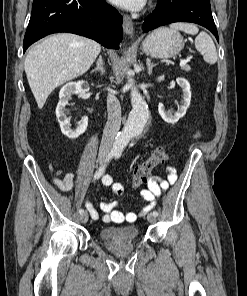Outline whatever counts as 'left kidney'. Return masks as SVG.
Returning <instances> with one entry per match:
<instances>
[{
    "instance_id": "5707ae66",
    "label": "left kidney",
    "mask_w": 247,
    "mask_h": 296,
    "mask_svg": "<svg viewBox=\"0 0 247 296\" xmlns=\"http://www.w3.org/2000/svg\"><path fill=\"white\" fill-rule=\"evenodd\" d=\"M176 81L183 91V102L181 107L178 109V111L175 114H172L165 110V107L162 103L158 105V111L162 119L165 122L171 123V124L176 123L180 118H182L186 114V111L191 101V91H190L189 82L184 78H178L176 79Z\"/></svg>"
}]
</instances>
